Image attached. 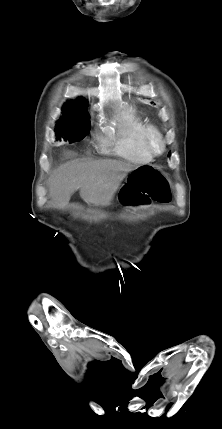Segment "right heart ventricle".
Segmentation results:
<instances>
[{"label":"right heart ventricle","instance_id":"right-heart-ventricle-1","mask_svg":"<svg viewBox=\"0 0 222 429\" xmlns=\"http://www.w3.org/2000/svg\"><path fill=\"white\" fill-rule=\"evenodd\" d=\"M116 133L103 140L102 147L111 149L118 156L135 163H147L152 157L143 146V136L148 127L132 105L119 106L114 115Z\"/></svg>","mask_w":222,"mask_h":429}]
</instances>
